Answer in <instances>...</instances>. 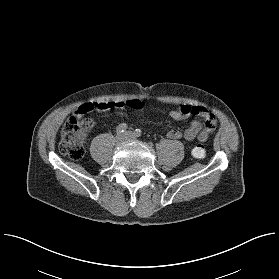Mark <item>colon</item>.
Instances as JSON below:
<instances>
[{"instance_id":"colon-1","label":"colon","mask_w":279,"mask_h":279,"mask_svg":"<svg viewBox=\"0 0 279 279\" xmlns=\"http://www.w3.org/2000/svg\"><path fill=\"white\" fill-rule=\"evenodd\" d=\"M126 105L133 109H139L142 103L139 100H128ZM95 122L91 118L80 119L70 117L62 126L59 151L61 154L70 157L72 160H80L85 154L84 140L89 130ZM192 156L202 158L205 149L201 145L193 147Z\"/></svg>"}]
</instances>
